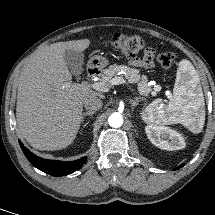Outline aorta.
I'll use <instances>...</instances> for the list:
<instances>
[{
    "label": "aorta",
    "mask_w": 215,
    "mask_h": 215,
    "mask_svg": "<svg viewBox=\"0 0 215 215\" xmlns=\"http://www.w3.org/2000/svg\"><path fill=\"white\" fill-rule=\"evenodd\" d=\"M108 123L111 127L118 128L123 124V118L119 113H113L108 118Z\"/></svg>",
    "instance_id": "aorta-1"
}]
</instances>
